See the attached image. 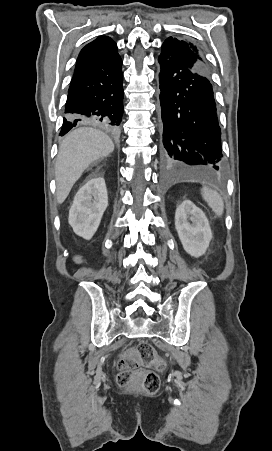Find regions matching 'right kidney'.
Listing matches in <instances>:
<instances>
[{
    "instance_id": "obj_1",
    "label": "right kidney",
    "mask_w": 272,
    "mask_h": 451,
    "mask_svg": "<svg viewBox=\"0 0 272 451\" xmlns=\"http://www.w3.org/2000/svg\"><path fill=\"white\" fill-rule=\"evenodd\" d=\"M108 206L104 178H92L77 192L69 210L68 222L77 235L91 239Z\"/></svg>"
}]
</instances>
